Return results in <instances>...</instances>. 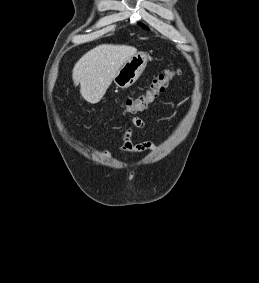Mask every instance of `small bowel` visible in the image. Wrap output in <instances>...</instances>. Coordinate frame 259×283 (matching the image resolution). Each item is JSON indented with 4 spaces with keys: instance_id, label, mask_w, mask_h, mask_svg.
Wrapping results in <instances>:
<instances>
[{
    "instance_id": "c3829d8e",
    "label": "small bowel",
    "mask_w": 259,
    "mask_h": 283,
    "mask_svg": "<svg viewBox=\"0 0 259 283\" xmlns=\"http://www.w3.org/2000/svg\"><path fill=\"white\" fill-rule=\"evenodd\" d=\"M132 124L135 127H143L144 122L142 119L135 117L132 119ZM132 137V131L130 128H128L123 135V145L121 147V151L125 154H128L130 156H135L137 154L143 153V152H153L156 150V146L150 142V141H144L141 143L134 144L131 141ZM105 156H110L109 152H104Z\"/></svg>"
}]
</instances>
